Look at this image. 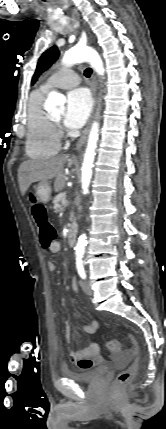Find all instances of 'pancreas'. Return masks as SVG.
Masks as SVG:
<instances>
[{"label": "pancreas", "instance_id": "cf45deb5", "mask_svg": "<svg viewBox=\"0 0 166 429\" xmlns=\"http://www.w3.org/2000/svg\"><path fill=\"white\" fill-rule=\"evenodd\" d=\"M63 199H66L65 195H57L53 200V208L57 211L63 210L66 206V204H63Z\"/></svg>", "mask_w": 166, "mask_h": 429}]
</instances>
